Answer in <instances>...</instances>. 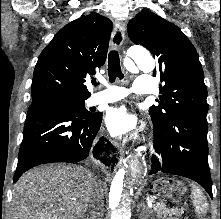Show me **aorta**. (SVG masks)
<instances>
[{
  "instance_id": "aorta-1",
  "label": "aorta",
  "mask_w": 221,
  "mask_h": 219,
  "mask_svg": "<svg viewBox=\"0 0 221 219\" xmlns=\"http://www.w3.org/2000/svg\"><path fill=\"white\" fill-rule=\"evenodd\" d=\"M127 55L128 58L125 61V65L130 70H134L136 67L152 70L155 66L154 59L144 48L130 49ZM143 172L144 165L139 157L134 158L127 167L120 168L116 172L109 195L111 219L131 218L130 205Z\"/></svg>"
}]
</instances>
